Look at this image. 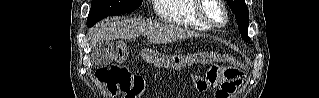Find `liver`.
Segmentation results:
<instances>
[{"label": "liver", "instance_id": "6515ba94", "mask_svg": "<svg viewBox=\"0 0 319 98\" xmlns=\"http://www.w3.org/2000/svg\"><path fill=\"white\" fill-rule=\"evenodd\" d=\"M140 35L150 38L154 44L169 43L186 38L198 37L195 32L176 25H166L152 22L110 20L98 24L91 30V45L96 47L111 40L134 39Z\"/></svg>", "mask_w": 319, "mask_h": 98}]
</instances>
